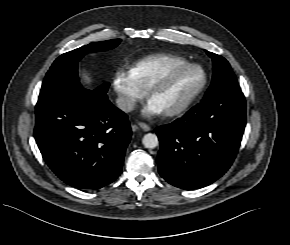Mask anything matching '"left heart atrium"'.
<instances>
[{
	"instance_id": "1",
	"label": "left heart atrium",
	"mask_w": 290,
	"mask_h": 245,
	"mask_svg": "<svg viewBox=\"0 0 290 245\" xmlns=\"http://www.w3.org/2000/svg\"><path fill=\"white\" fill-rule=\"evenodd\" d=\"M162 107L153 99H149L142 110V114L146 117H153L162 114Z\"/></svg>"
}]
</instances>
